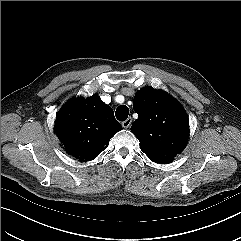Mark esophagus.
Masks as SVG:
<instances>
[{
  "mask_svg": "<svg viewBox=\"0 0 241 241\" xmlns=\"http://www.w3.org/2000/svg\"><path fill=\"white\" fill-rule=\"evenodd\" d=\"M132 123V118L129 117L125 121L122 122V127L123 128H129Z\"/></svg>",
  "mask_w": 241,
  "mask_h": 241,
  "instance_id": "1",
  "label": "esophagus"
}]
</instances>
